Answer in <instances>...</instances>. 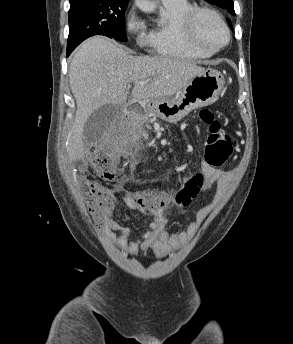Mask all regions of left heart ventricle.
I'll list each match as a JSON object with an SVG mask.
<instances>
[{
  "instance_id": "left-heart-ventricle-1",
  "label": "left heart ventricle",
  "mask_w": 293,
  "mask_h": 344,
  "mask_svg": "<svg viewBox=\"0 0 293 344\" xmlns=\"http://www.w3.org/2000/svg\"><path fill=\"white\" fill-rule=\"evenodd\" d=\"M198 40L208 48H216L223 44L226 34L220 23L211 15L202 14L196 23Z\"/></svg>"
}]
</instances>
